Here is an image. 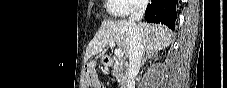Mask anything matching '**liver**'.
<instances>
[{"instance_id": "1", "label": "liver", "mask_w": 227, "mask_h": 88, "mask_svg": "<svg viewBox=\"0 0 227 88\" xmlns=\"http://www.w3.org/2000/svg\"><path fill=\"white\" fill-rule=\"evenodd\" d=\"M142 36V43L145 50L160 51L169 46L172 42V32L163 25L139 23L137 25ZM114 42L120 50L129 56L130 33L126 20L103 21L98 32L89 43L86 50V59L97 55L103 56L105 48L109 43Z\"/></svg>"}]
</instances>
